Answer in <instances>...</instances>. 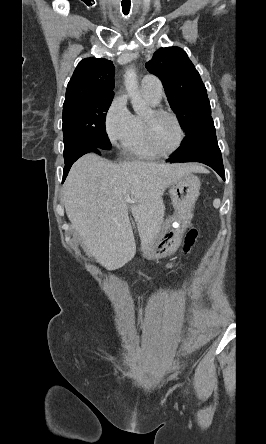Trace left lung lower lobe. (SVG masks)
<instances>
[{"mask_svg":"<svg viewBox=\"0 0 266 444\" xmlns=\"http://www.w3.org/2000/svg\"><path fill=\"white\" fill-rule=\"evenodd\" d=\"M166 161L170 163L201 162L210 166L225 180L222 155L212 120L200 124L192 130L181 144V147Z\"/></svg>","mask_w":266,"mask_h":444,"instance_id":"obj_1","label":"left lung lower lobe"}]
</instances>
